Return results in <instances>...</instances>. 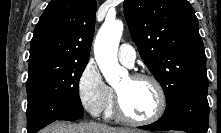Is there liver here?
I'll list each match as a JSON object with an SVG mask.
<instances>
[{
	"mask_svg": "<svg viewBox=\"0 0 221 133\" xmlns=\"http://www.w3.org/2000/svg\"><path fill=\"white\" fill-rule=\"evenodd\" d=\"M40 133H137L136 130L109 127L94 122L81 123L78 125L66 122H55Z\"/></svg>",
	"mask_w": 221,
	"mask_h": 133,
	"instance_id": "liver-1",
	"label": "liver"
}]
</instances>
